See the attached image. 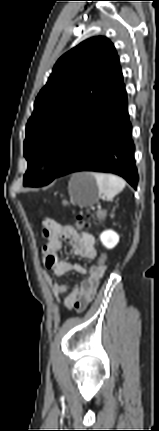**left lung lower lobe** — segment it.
<instances>
[{"instance_id":"0a47b994","label":"left lung lower lobe","mask_w":159,"mask_h":431,"mask_svg":"<svg viewBox=\"0 0 159 431\" xmlns=\"http://www.w3.org/2000/svg\"><path fill=\"white\" fill-rule=\"evenodd\" d=\"M123 85L111 101L75 137L64 166L55 178L79 171L114 173L134 189L138 184L132 125Z\"/></svg>"}]
</instances>
